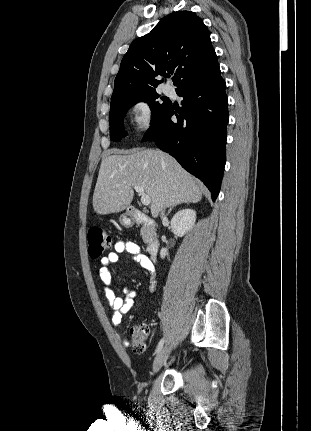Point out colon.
Segmentation results:
<instances>
[{"mask_svg": "<svg viewBox=\"0 0 311 431\" xmlns=\"http://www.w3.org/2000/svg\"><path fill=\"white\" fill-rule=\"evenodd\" d=\"M112 238L101 228H93L88 233V253L91 258H99L112 247ZM149 336V326L146 323L136 325L131 329L129 344L135 353L146 350Z\"/></svg>", "mask_w": 311, "mask_h": 431, "instance_id": "1", "label": "colon"}]
</instances>
